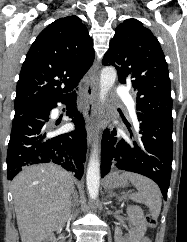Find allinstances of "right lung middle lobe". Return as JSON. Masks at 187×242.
Listing matches in <instances>:
<instances>
[{
  "instance_id": "1",
  "label": "right lung middle lobe",
  "mask_w": 187,
  "mask_h": 242,
  "mask_svg": "<svg viewBox=\"0 0 187 242\" xmlns=\"http://www.w3.org/2000/svg\"><path fill=\"white\" fill-rule=\"evenodd\" d=\"M41 105H34V106H25V107H18L15 108V116L14 117H18L21 116L29 111H32L34 109H37L38 107H40Z\"/></svg>"
}]
</instances>
